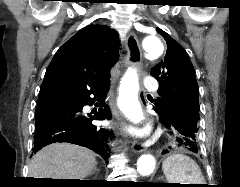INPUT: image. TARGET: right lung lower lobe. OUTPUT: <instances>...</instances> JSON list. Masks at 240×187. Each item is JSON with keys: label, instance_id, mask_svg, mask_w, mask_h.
Listing matches in <instances>:
<instances>
[{"label": "right lung lower lobe", "instance_id": "1", "mask_svg": "<svg viewBox=\"0 0 240 187\" xmlns=\"http://www.w3.org/2000/svg\"><path fill=\"white\" fill-rule=\"evenodd\" d=\"M110 82L95 86L72 99H56L36 107L34 148L36 153L42 147L55 142H70L87 147L101 155L109 157L108 139L112 132L93 124L94 120L110 119V111L104 104ZM99 101L98 110L84 114L85 105Z\"/></svg>", "mask_w": 240, "mask_h": 187}]
</instances>
